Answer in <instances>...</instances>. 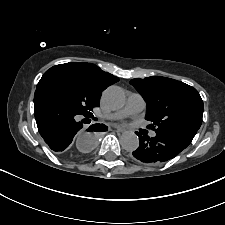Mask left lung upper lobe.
Listing matches in <instances>:
<instances>
[{
  "instance_id": "5c2ea615",
  "label": "left lung upper lobe",
  "mask_w": 225,
  "mask_h": 225,
  "mask_svg": "<svg viewBox=\"0 0 225 225\" xmlns=\"http://www.w3.org/2000/svg\"><path fill=\"white\" fill-rule=\"evenodd\" d=\"M147 103L148 128L156 133L183 128L198 130L202 123L203 101L198 91L170 78L152 76L130 81Z\"/></svg>"
}]
</instances>
